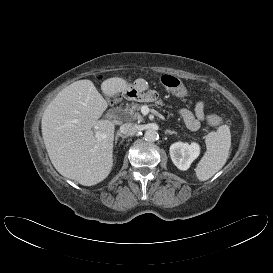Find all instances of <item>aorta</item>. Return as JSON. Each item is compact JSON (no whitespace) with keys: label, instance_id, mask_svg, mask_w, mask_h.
Listing matches in <instances>:
<instances>
[{"label":"aorta","instance_id":"aorta-1","mask_svg":"<svg viewBox=\"0 0 273 273\" xmlns=\"http://www.w3.org/2000/svg\"><path fill=\"white\" fill-rule=\"evenodd\" d=\"M144 138L148 142H154L158 138V133L153 129H149L145 131Z\"/></svg>","mask_w":273,"mask_h":273}]
</instances>
